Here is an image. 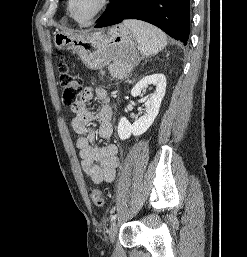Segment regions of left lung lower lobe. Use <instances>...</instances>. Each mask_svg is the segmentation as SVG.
Returning <instances> with one entry per match:
<instances>
[{"instance_id": "left-lung-lower-lobe-1", "label": "left lung lower lobe", "mask_w": 247, "mask_h": 257, "mask_svg": "<svg viewBox=\"0 0 247 257\" xmlns=\"http://www.w3.org/2000/svg\"><path fill=\"white\" fill-rule=\"evenodd\" d=\"M124 19L149 22L186 45L190 32V0H110L95 28Z\"/></svg>"}]
</instances>
